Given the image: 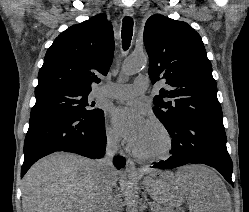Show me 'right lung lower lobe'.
<instances>
[{
    "label": "right lung lower lobe",
    "instance_id": "98d812e1",
    "mask_svg": "<svg viewBox=\"0 0 249 212\" xmlns=\"http://www.w3.org/2000/svg\"><path fill=\"white\" fill-rule=\"evenodd\" d=\"M104 113L99 118L50 112L32 115L24 142L21 177L38 159L54 152H71L88 158H101L105 153ZM115 166H125L123 157L114 158Z\"/></svg>",
    "mask_w": 249,
    "mask_h": 212
}]
</instances>
